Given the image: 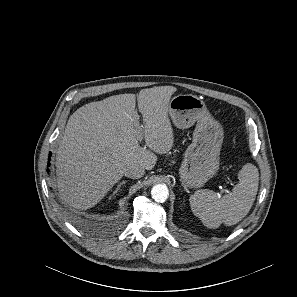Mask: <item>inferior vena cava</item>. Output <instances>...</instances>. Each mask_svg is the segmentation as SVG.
I'll return each instance as SVG.
<instances>
[{"label": "inferior vena cava", "mask_w": 297, "mask_h": 297, "mask_svg": "<svg viewBox=\"0 0 297 297\" xmlns=\"http://www.w3.org/2000/svg\"><path fill=\"white\" fill-rule=\"evenodd\" d=\"M145 173L144 167L137 165V164H132L129 165L125 168V176L132 178V179H138L141 178Z\"/></svg>", "instance_id": "inferior-vena-cava-1"}]
</instances>
